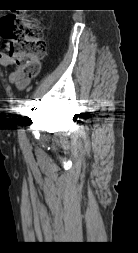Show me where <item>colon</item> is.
Segmentation results:
<instances>
[{
    "mask_svg": "<svg viewBox=\"0 0 138 253\" xmlns=\"http://www.w3.org/2000/svg\"><path fill=\"white\" fill-rule=\"evenodd\" d=\"M0 34L7 41V51L14 57L25 75L38 72L39 60L45 55L46 44L39 22L17 14H9L0 20Z\"/></svg>",
    "mask_w": 138,
    "mask_h": 253,
    "instance_id": "1",
    "label": "colon"
}]
</instances>
